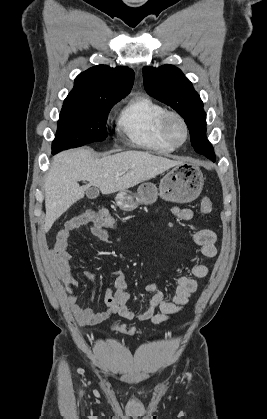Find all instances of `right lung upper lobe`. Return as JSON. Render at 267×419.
<instances>
[{
	"label": "right lung upper lobe",
	"instance_id": "1",
	"mask_svg": "<svg viewBox=\"0 0 267 419\" xmlns=\"http://www.w3.org/2000/svg\"><path fill=\"white\" fill-rule=\"evenodd\" d=\"M134 82V72L128 67H92L78 75L68 100H90L127 95Z\"/></svg>",
	"mask_w": 267,
	"mask_h": 419
}]
</instances>
